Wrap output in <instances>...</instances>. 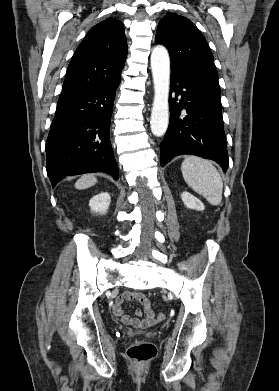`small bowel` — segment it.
I'll return each instance as SVG.
<instances>
[{"mask_svg": "<svg viewBox=\"0 0 279 391\" xmlns=\"http://www.w3.org/2000/svg\"><path fill=\"white\" fill-rule=\"evenodd\" d=\"M125 301H137L142 307L143 311L137 310V317L132 318L129 315L124 314L122 306ZM113 314L116 318L120 319L124 324L131 325L134 328H149L155 324V313L151 307L150 301L148 298L139 292H126L122 296H120L114 306H113ZM143 318H139L142 317Z\"/></svg>", "mask_w": 279, "mask_h": 391, "instance_id": "small-bowel-1", "label": "small bowel"}]
</instances>
